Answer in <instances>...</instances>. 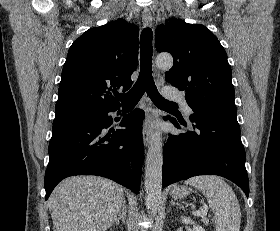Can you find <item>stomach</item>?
Returning <instances> with one entry per match:
<instances>
[{
    "instance_id": "1",
    "label": "stomach",
    "mask_w": 280,
    "mask_h": 231,
    "mask_svg": "<svg viewBox=\"0 0 280 231\" xmlns=\"http://www.w3.org/2000/svg\"><path fill=\"white\" fill-rule=\"evenodd\" d=\"M191 191V187H184V185H179V187H173V189H171L170 195L171 197H173V199H182V197H186V195H189Z\"/></svg>"
}]
</instances>
